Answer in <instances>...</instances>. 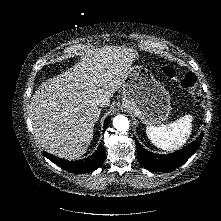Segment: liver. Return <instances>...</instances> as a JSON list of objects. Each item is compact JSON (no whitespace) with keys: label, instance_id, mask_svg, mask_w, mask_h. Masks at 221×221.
<instances>
[{"label":"liver","instance_id":"6515ba94","mask_svg":"<svg viewBox=\"0 0 221 221\" xmlns=\"http://www.w3.org/2000/svg\"><path fill=\"white\" fill-rule=\"evenodd\" d=\"M138 54L123 46L87 52L73 67L43 82L32 96L29 115L35 138L47 152L74 160L86 153L101 109L122 87Z\"/></svg>","mask_w":221,"mask_h":221}]
</instances>
